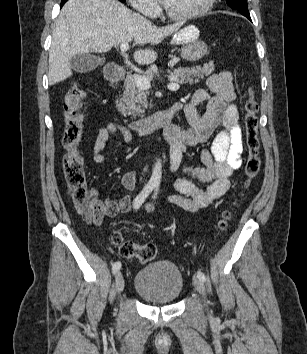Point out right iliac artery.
Masks as SVG:
<instances>
[{"label": "right iliac artery", "instance_id": "82829eb1", "mask_svg": "<svg viewBox=\"0 0 307 354\" xmlns=\"http://www.w3.org/2000/svg\"><path fill=\"white\" fill-rule=\"evenodd\" d=\"M154 187H155L154 184L148 183L141 191V193L136 196V198L133 201V208L135 210L139 209V207L142 205V203L145 201L148 195L152 192ZM120 269H121V262L117 261L112 266V273L115 275L119 272Z\"/></svg>", "mask_w": 307, "mask_h": 354}]
</instances>
